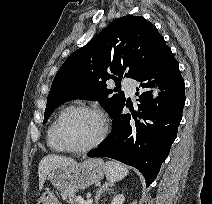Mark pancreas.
<instances>
[{"instance_id": "pancreas-1", "label": "pancreas", "mask_w": 212, "mask_h": 204, "mask_svg": "<svg viewBox=\"0 0 212 204\" xmlns=\"http://www.w3.org/2000/svg\"><path fill=\"white\" fill-rule=\"evenodd\" d=\"M61 197L63 200L67 201L69 204H75V190L69 188L61 192Z\"/></svg>"}]
</instances>
